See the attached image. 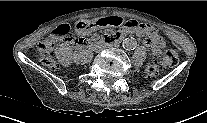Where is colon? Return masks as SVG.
<instances>
[{"mask_svg":"<svg viewBox=\"0 0 207 123\" xmlns=\"http://www.w3.org/2000/svg\"><path fill=\"white\" fill-rule=\"evenodd\" d=\"M57 41L65 43H74L76 41L80 44H84L86 42L84 39L75 40L71 34V29L68 24L58 25L53 31L52 38L40 43L36 50V54L39 60L43 64L52 68L56 67L57 65L56 61L52 57L54 43ZM178 60V52L174 49H168L161 60L152 61L147 64L145 73L148 77H154L160 72V70L176 65L178 63Z\"/></svg>","mask_w":207,"mask_h":123,"instance_id":"obj_1","label":"colon"}]
</instances>
